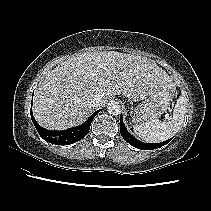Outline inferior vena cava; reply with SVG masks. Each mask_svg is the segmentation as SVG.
Segmentation results:
<instances>
[{
	"instance_id": "1",
	"label": "inferior vena cava",
	"mask_w": 211,
	"mask_h": 211,
	"mask_svg": "<svg viewBox=\"0 0 211 211\" xmlns=\"http://www.w3.org/2000/svg\"><path fill=\"white\" fill-rule=\"evenodd\" d=\"M102 103H103L102 97H101L100 95H95V96L91 99L89 105H90L91 107H98V106H100Z\"/></svg>"
}]
</instances>
